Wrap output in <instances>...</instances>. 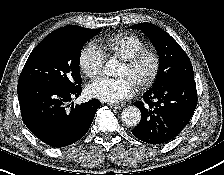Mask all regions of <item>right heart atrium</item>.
I'll use <instances>...</instances> for the list:
<instances>
[{
	"mask_svg": "<svg viewBox=\"0 0 224 175\" xmlns=\"http://www.w3.org/2000/svg\"><path fill=\"white\" fill-rule=\"evenodd\" d=\"M104 62L105 53L95 43L87 44L80 53V69L89 78H95L101 73Z\"/></svg>",
	"mask_w": 224,
	"mask_h": 175,
	"instance_id": "1",
	"label": "right heart atrium"
}]
</instances>
